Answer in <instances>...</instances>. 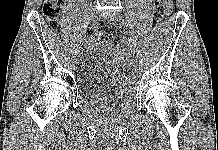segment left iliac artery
<instances>
[{"instance_id": "44dca946", "label": "left iliac artery", "mask_w": 218, "mask_h": 150, "mask_svg": "<svg viewBox=\"0 0 218 150\" xmlns=\"http://www.w3.org/2000/svg\"><path fill=\"white\" fill-rule=\"evenodd\" d=\"M122 31H123V33H125L126 35H129L130 34V31L128 30V28H126V27H123L122 28ZM128 46L131 44L129 41L126 43ZM133 47L131 46L127 51L129 52V54H128V63H133V55L135 54L134 52H133Z\"/></svg>"}]
</instances>
